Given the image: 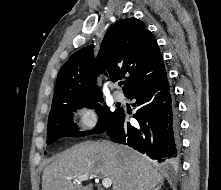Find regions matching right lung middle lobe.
Returning a JSON list of instances; mask_svg holds the SVG:
<instances>
[{
    "mask_svg": "<svg viewBox=\"0 0 221 190\" xmlns=\"http://www.w3.org/2000/svg\"><path fill=\"white\" fill-rule=\"evenodd\" d=\"M100 98L86 102H69L53 105L48 118L47 144L50 145L61 137H79L93 133H102L114 123L121 109L111 112L107 106L101 107L98 102ZM95 108L99 121L96 129L87 132H78V126L72 121V113L78 108Z\"/></svg>",
    "mask_w": 221,
    "mask_h": 190,
    "instance_id": "dd1d6c3e",
    "label": "right lung middle lobe"
}]
</instances>
